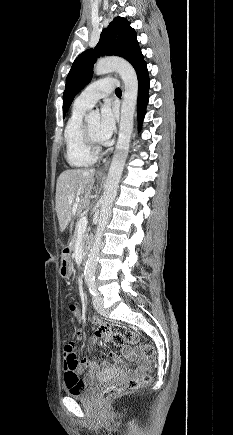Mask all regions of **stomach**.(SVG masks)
<instances>
[{
  "instance_id": "stomach-1",
  "label": "stomach",
  "mask_w": 233,
  "mask_h": 435,
  "mask_svg": "<svg viewBox=\"0 0 233 435\" xmlns=\"http://www.w3.org/2000/svg\"><path fill=\"white\" fill-rule=\"evenodd\" d=\"M59 274L62 278H69L71 276L72 266L68 257H62Z\"/></svg>"
}]
</instances>
